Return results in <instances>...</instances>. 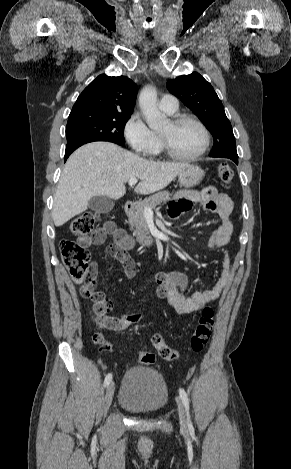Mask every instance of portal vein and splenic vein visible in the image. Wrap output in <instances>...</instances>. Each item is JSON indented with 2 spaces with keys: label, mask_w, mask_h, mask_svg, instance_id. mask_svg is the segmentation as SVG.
Listing matches in <instances>:
<instances>
[{
  "label": "portal vein and splenic vein",
  "mask_w": 291,
  "mask_h": 469,
  "mask_svg": "<svg viewBox=\"0 0 291 469\" xmlns=\"http://www.w3.org/2000/svg\"><path fill=\"white\" fill-rule=\"evenodd\" d=\"M138 182V180L136 178H131L129 181H128V184L129 186H133L135 185L136 183ZM153 213L152 209L151 208H145V214H151Z\"/></svg>",
  "instance_id": "1"
}]
</instances>
